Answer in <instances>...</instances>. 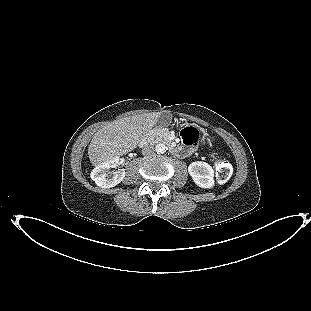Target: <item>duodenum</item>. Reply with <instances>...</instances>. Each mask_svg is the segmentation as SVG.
Returning <instances> with one entry per match:
<instances>
[{"instance_id": "obj_1", "label": "duodenum", "mask_w": 311, "mask_h": 311, "mask_svg": "<svg viewBox=\"0 0 311 311\" xmlns=\"http://www.w3.org/2000/svg\"><path fill=\"white\" fill-rule=\"evenodd\" d=\"M156 136H157L156 133H152V134L150 135V138H153V137H156ZM147 141H148L147 138H145V139H143V140L141 141V144L144 145V144H146ZM169 152H170L171 154L175 155V156H179V155H181V154H183V153L185 152V149H184L183 147H181V148H174V147H171L170 150H169Z\"/></svg>"}]
</instances>
